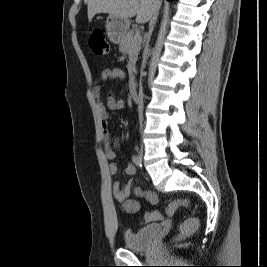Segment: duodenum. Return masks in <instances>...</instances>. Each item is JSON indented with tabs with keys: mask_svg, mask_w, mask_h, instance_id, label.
Returning a JSON list of instances; mask_svg holds the SVG:
<instances>
[{
	"mask_svg": "<svg viewBox=\"0 0 267 267\" xmlns=\"http://www.w3.org/2000/svg\"><path fill=\"white\" fill-rule=\"evenodd\" d=\"M129 92L131 97L136 100L138 98V92H137V87H136V83H135V78L132 77L130 80V84H129Z\"/></svg>",
	"mask_w": 267,
	"mask_h": 267,
	"instance_id": "1",
	"label": "duodenum"
}]
</instances>
